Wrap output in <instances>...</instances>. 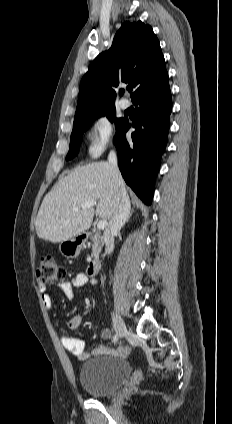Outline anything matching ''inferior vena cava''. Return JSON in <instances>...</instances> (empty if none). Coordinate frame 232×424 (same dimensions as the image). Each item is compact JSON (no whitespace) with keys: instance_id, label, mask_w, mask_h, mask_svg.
I'll return each mask as SVG.
<instances>
[{"instance_id":"602c4592","label":"inferior vena cava","mask_w":232,"mask_h":424,"mask_svg":"<svg viewBox=\"0 0 232 424\" xmlns=\"http://www.w3.org/2000/svg\"><path fill=\"white\" fill-rule=\"evenodd\" d=\"M108 164L113 177L117 181H120L121 174L117 165V156L115 151H110L108 155ZM130 207V200L126 192L117 188L115 192V209L104 232V242L108 253H111L114 249V236L120 231L127 221L130 213Z\"/></svg>"}]
</instances>
